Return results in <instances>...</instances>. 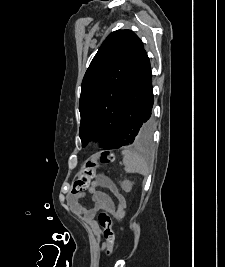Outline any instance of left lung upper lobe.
<instances>
[{
	"instance_id": "1",
	"label": "left lung upper lobe",
	"mask_w": 225,
	"mask_h": 267,
	"mask_svg": "<svg viewBox=\"0 0 225 267\" xmlns=\"http://www.w3.org/2000/svg\"><path fill=\"white\" fill-rule=\"evenodd\" d=\"M143 43L131 30L112 32L102 43L87 69L79 101L82 146L90 140L104 139L105 147L113 138L120 119L123 101L138 61ZM142 125L134 145L146 144Z\"/></svg>"
}]
</instances>
